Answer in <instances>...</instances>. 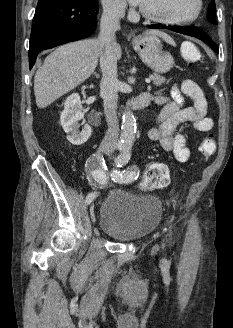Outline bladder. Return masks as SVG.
I'll return each mask as SVG.
<instances>
[{
  "mask_svg": "<svg viewBox=\"0 0 233 328\" xmlns=\"http://www.w3.org/2000/svg\"><path fill=\"white\" fill-rule=\"evenodd\" d=\"M161 219V204L152 195L112 191L98 211L100 229L120 241H136L152 232Z\"/></svg>",
  "mask_w": 233,
  "mask_h": 328,
  "instance_id": "1",
  "label": "bladder"
}]
</instances>
